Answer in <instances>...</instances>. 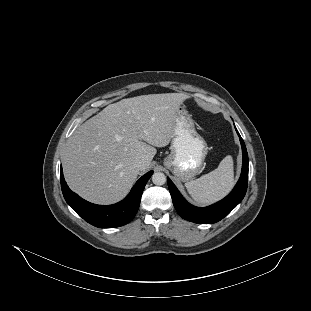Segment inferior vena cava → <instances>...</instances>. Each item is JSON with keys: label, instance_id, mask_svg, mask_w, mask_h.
Masks as SVG:
<instances>
[{"label": "inferior vena cava", "instance_id": "inferior-vena-cava-1", "mask_svg": "<svg viewBox=\"0 0 311 311\" xmlns=\"http://www.w3.org/2000/svg\"><path fill=\"white\" fill-rule=\"evenodd\" d=\"M142 163H143V161L141 160V159H136V160H134V162H133V165L135 166V167H141L142 166Z\"/></svg>", "mask_w": 311, "mask_h": 311}]
</instances>
